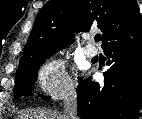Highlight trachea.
Returning <instances> with one entry per match:
<instances>
[{
	"mask_svg": "<svg viewBox=\"0 0 142 119\" xmlns=\"http://www.w3.org/2000/svg\"><path fill=\"white\" fill-rule=\"evenodd\" d=\"M101 38H102V37H101L100 34H96V35H95V41H96V42L101 41Z\"/></svg>",
	"mask_w": 142,
	"mask_h": 119,
	"instance_id": "obj_1",
	"label": "trachea"
}]
</instances>
